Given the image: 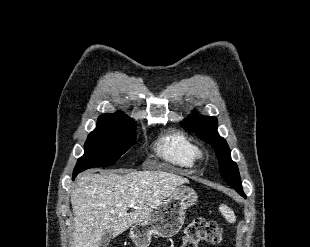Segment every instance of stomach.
I'll return each mask as SVG.
<instances>
[{"mask_svg":"<svg viewBox=\"0 0 310 247\" xmlns=\"http://www.w3.org/2000/svg\"><path fill=\"white\" fill-rule=\"evenodd\" d=\"M197 201L198 196L193 188L179 185L167 199L153 208L145 220L131 227V240L136 247H148L153 235L173 237L182 228L186 210Z\"/></svg>","mask_w":310,"mask_h":247,"instance_id":"obj_1","label":"stomach"}]
</instances>
